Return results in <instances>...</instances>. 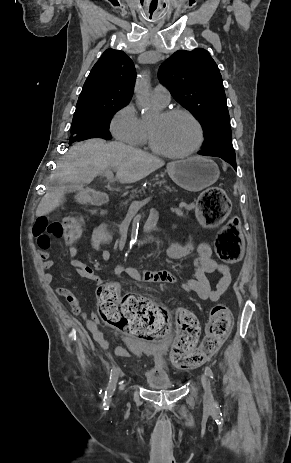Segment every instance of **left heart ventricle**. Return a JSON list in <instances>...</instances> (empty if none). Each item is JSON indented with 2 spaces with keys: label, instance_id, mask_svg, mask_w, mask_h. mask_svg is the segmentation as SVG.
<instances>
[{
  "label": "left heart ventricle",
  "instance_id": "obj_1",
  "mask_svg": "<svg viewBox=\"0 0 291 463\" xmlns=\"http://www.w3.org/2000/svg\"><path fill=\"white\" fill-rule=\"evenodd\" d=\"M150 125L154 130L156 143L169 152L186 151L197 141L195 124L183 115L166 118L160 114Z\"/></svg>",
  "mask_w": 291,
  "mask_h": 463
}]
</instances>
